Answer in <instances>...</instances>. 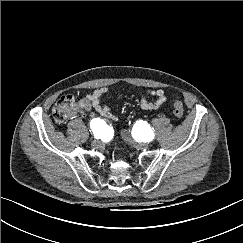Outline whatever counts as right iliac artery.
I'll list each match as a JSON object with an SVG mask.
<instances>
[{
    "mask_svg": "<svg viewBox=\"0 0 243 243\" xmlns=\"http://www.w3.org/2000/svg\"><path fill=\"white\" fill-rule=\"evenodd\" d=\"M106 127H107L106 123L100 119H94L91 122V129L94 133L95 138H97V139L100 138L103 129Z\"/></svg>",
    "mask_w": 243,
    "mask_h": 243,
    "instance_id": "1",
    "label": "right iliac artery"
}]
</instances>
